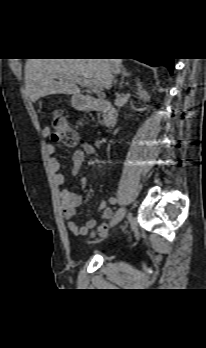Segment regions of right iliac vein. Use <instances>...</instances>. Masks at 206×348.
<instances>
[{"instance_id":"obj_1","label":"right iliac vein","mask_w":206,"mask_h":348,"mask_svg":"<svg viewBox=\"0 0 206 348\" xmlns=\"http://www.w3.org/2000/svg\"><path fill=\"white\" fill-rule=\"evenodd\" d=\"M126 209L124 207L120 208L116 214L114 215L113 219L110 222V226L113 227L117 225L125 216Z\"/></svg>"}]
</instances>
